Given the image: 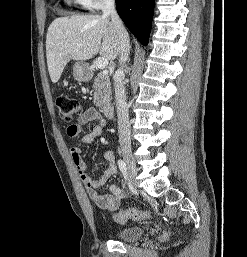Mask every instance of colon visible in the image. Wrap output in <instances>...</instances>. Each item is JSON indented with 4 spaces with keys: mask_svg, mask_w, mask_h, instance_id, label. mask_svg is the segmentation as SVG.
Returning a JSON list of instances; mask_svg holds the SVG:
<instances>
[{
    "mask_svg": "<svg viewBox=\"0 0 247 257\" xmlns=\"http://www.w3.org/2000/svg\"><path fill=\"white\" fill-rule=\"evenodd\" d=\"M56 105L61 119L66 123H71L76 116H79L82 113V106L79 101L65 93H60L56 97ZM148 216L149 213L147 211L128 208L115 213L114 219L119 223H126L130 220H144Z\"/></svg>",
    "mask_w": 247,
    "mask_h": 257,
    "instance_id": "obj_1",
    "label": "colon"
}]
</instances>
